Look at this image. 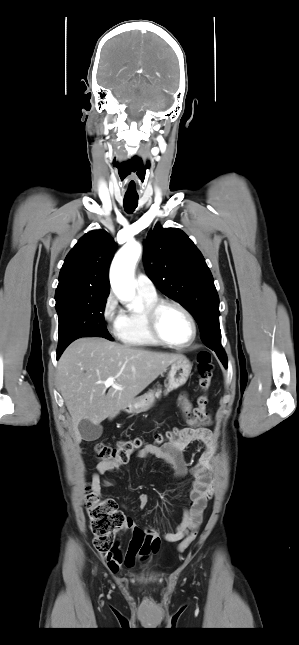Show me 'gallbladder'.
<instances>
[{"label":"gallbladder","instance_id":"gallbladder-1","mask_svg":"<svg viewBox=\"0 0 299 645\" xmlns=\"http://www.w3.org/2000/svg\"><path fill=\"white\" fill-rule=\"evenodd\" d=\"M78 430L81 437L85 441L97 440L103 433V427L99 424L95 425L89 420H82L78 425Z\"/></svg>","mask_w":299,"mask_h":645}]
</instances>
